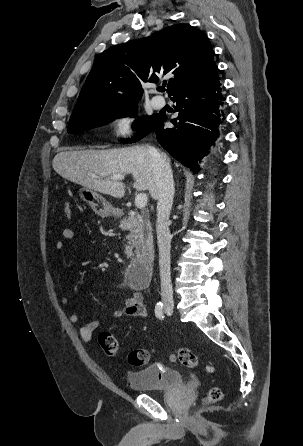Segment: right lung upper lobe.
<instances>
[{
  "label": "right lung upper lobe",
  "instance_id": "1",
  "mask_svg": "<svg viewBox=\"0 0 303 446\" xmlns=\"http://www.w3.org/2000/svg\"><path fill=\"white\" fill-rule=\"evenodd\" d=\"M207 35L188 24H175L132 42L107 49L97 59L80 92L72 116L102 106L140 100V80L157 82L173 74L167 92L173 96L218 76Z\"/></svg>",
  "mask_w": 303,
  "mask_h": 446
}]
</instances>
